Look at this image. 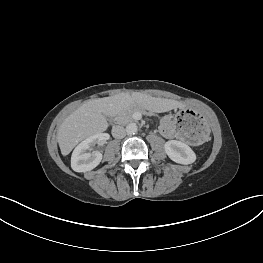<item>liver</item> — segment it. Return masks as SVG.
Instances as JSON below:
<instances>
[{
  "label": "liver",
  "mask_w": 263,
  "mask_h": 263,
  "mask_svg": "<svg viewBox=\"0 0 263 263\" xmlns=\"http://www.w3.org/2000/svg\"><path fill=\"white\" fill-rule=\"evenodd\" d=\"M136 105L157 113L183 106L176 100L155 98L139 92L89 100L71 113L59 127L57 141L62 155H68L85 138L104 132L108 128L106 116H117Z\"/></svg>",
  "instance_id": "1"
}]
</instances>
